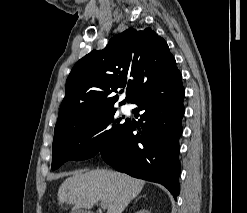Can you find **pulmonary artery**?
I'll list each match as a JSON object with an SVG mask.
<instances>
[{
  "label": "pulmonary artery",
  "instance_id": "pulmonary-artery-1",
  "mask_svg": "<svg viewBox=\"0 0 247 213\" xmlns=\"http://www.w3.org/2000/svg\"><path fill=\"white\" fill-rule=\"evenodd\" d=\"M129 106L128 105H122L121 106V110H122V112H128L129 111Z\"/></svg>",
  "mask_w": 247,
  "mask_h": 213
}]
</instances>
